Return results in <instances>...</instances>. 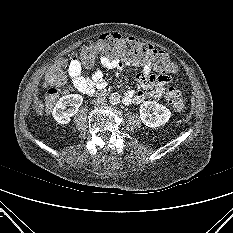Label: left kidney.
I'll use <instances>...</instances> for the list:
<instances>
[{
	"instance_id": "left-kidney-1",
	"label": "left kidney",
	"mask_w": 233,
	"mask_h": 233,
	"mask_svg": "<svg viewBox=\"0 0 233 233\" xmlns=\"http://www.w3.org/2000/svg\"><path fill=\"white\" fill-rule=\"evenodd\" d=\"M139 111L142 123L151 128L164 125L171 117L170 110L156 101L143 102Z\"/></svg>"
}]
</instances>
